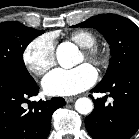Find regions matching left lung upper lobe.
Listing matches in <instances>:
<instances>
[{"mask_svg":"<svg viewBox=\"0 0 139 139\" xmlns=\"http://www.w3.org/2000/svg\"><path fill=\"white\" fill-rule=\"evenodd\" d=\"M72 27L95 28L110 45L112 57L99 84L111 82L129 65L139 62V28L129 19L115 14H100Z\"/></svg>","mask_w":139,"mask_h":139,"instance_id":"1","label":"left lung upper lobe"}]
</instances>
